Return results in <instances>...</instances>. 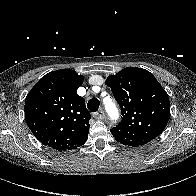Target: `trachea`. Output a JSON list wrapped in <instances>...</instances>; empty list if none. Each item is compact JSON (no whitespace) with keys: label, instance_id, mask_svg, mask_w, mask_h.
I'll use <instances>...</instances> for the list:
<instances>
[{"label":"trachea","instance_id":"3493384b","mask_svg":"<svg viewBox=\"0 0 196 196\" xmlns=\"http://www.w3.org/2000/svg\"><path fill=\"white\" fill-rule=\"evenodd\" d=\"M99 105H100V102L98 99L96 98H93V99H90L87 103V108L89 109V111L91 112H97L98 109H99Z\"/></svg>","mask_w":196,"mask_h":196}]
</instances>
